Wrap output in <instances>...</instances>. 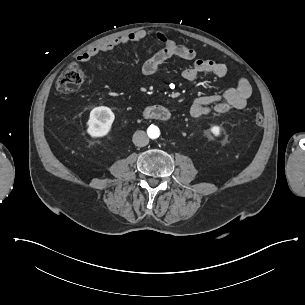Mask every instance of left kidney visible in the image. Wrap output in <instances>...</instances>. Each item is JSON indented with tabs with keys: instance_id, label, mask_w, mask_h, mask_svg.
Masks as SVG:
<instances>
[{
	"instance_id": "1",
	"label": "left kidney",
	"mask_w": 305,
	"mask_h": 305,
	"mask_svg": "<svg viewBox=\"0 0 305 305\" xmlns=\"http://www.w3.org/2000/svg\"><path fill=\"white\" fill-rule=\"evenodd\" d=\"M209 133L213 135L214 138L223 139L222 128L219 125H212L208 128Z\"/></svg>"
}]
</instances>
